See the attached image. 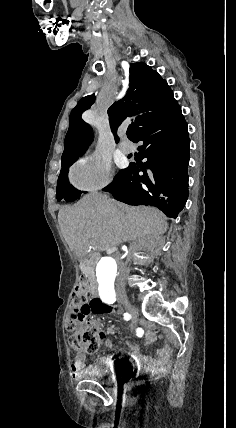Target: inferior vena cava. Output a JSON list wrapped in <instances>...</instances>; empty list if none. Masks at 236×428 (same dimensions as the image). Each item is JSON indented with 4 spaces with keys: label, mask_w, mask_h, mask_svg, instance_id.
Masks as SVG:
<instances>
[{
    "label": "inferior vena cava",
    "mask_w": 236,
    "mask_h": 428,
    "mask_svg": "<svg viewBox=\"0 0 236 428\" xmlns=\"http://www.w3.org/2000/svg\"><path fill=\"white\" fill-rule=\"evenodd\" d=\"M114 240H117V237H114ZM111 247H113L112 248V250H116V248H114V247H116V242H111ZM113 257L115 256V258H116V262L118 263V264H120L117 268L120 270V276L118 277V282H117V287H116V295H117V297H119V298H123V297H125V295H126V292H125V285H126V282L124 281V278H125V274H126V265H125V263H123L122 261H121V256L123 255L121 252L118 254V251H115V253L113 252L112 254H111Z\"/></svg>",
    "instance_id": "inferior-vena-cava-1"
}]
</instances>
